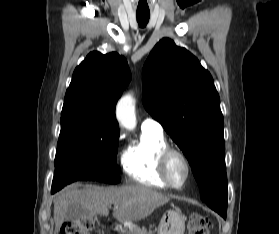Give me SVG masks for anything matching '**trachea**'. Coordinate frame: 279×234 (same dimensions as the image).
Returning <instances> with one entry per match:
<instances>
[{
	"mask_svg": "<svg viewBox=\"0 0 279 234\" xmlns=\"http://www.w3.org/2000/svg\"><path fill=\"white\" fill-rule=\"evenodd\" d=\"M137 21L140 27H145L149 21L150 13L149 12H137Z\"/></svg>",
	"mask_w": 279,
	"mask_h": 234,
	"instance_id": "obj_1",
	"label": "trachea"
}]
</instances>
